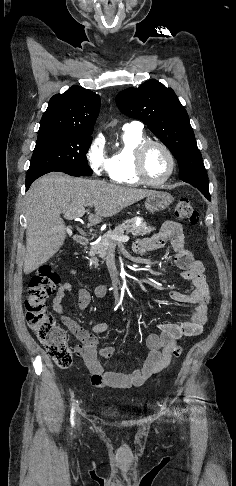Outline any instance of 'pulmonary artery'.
Wrapping results in <instances>:
<instances>
[{"label":"pulmonary artery","instance_id":"e3ab8cb5","mask_svg":"<svg viewBox=\"0 0 236 486\" xmlns=\"http://www.w3.org/2000/svg\"><path fill=\"white\" fill-rule=\"evenodd\" d=\"M123 128L124 129H126V128H133V129H141L142 130L143 125L139 121H133V122H130V123L125 124Z\"/></svg>","mask_w":236,"mask_h":486}]
</instances>
